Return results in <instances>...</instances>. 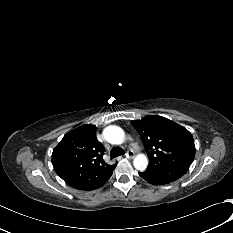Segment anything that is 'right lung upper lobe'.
I'll return each instance as SVG.
<instances>
[{"instance_id": "obj_1", "label": "right lung upper lobe", "mask_w": 233, "mask_h": 233, "mask_svg": "<svg viewBox=\"0 0 233 233\" xmlns=\"http://www.w3.org/2000/svg\"><path fill=\"white\" fill-rule=\"evenodd\" d=\"M95 133V125H82L67 133L53 150L56 173L75 189L89 191L101 187L116 167L104 162V147Z\"/></svg>"}]
</instances>
